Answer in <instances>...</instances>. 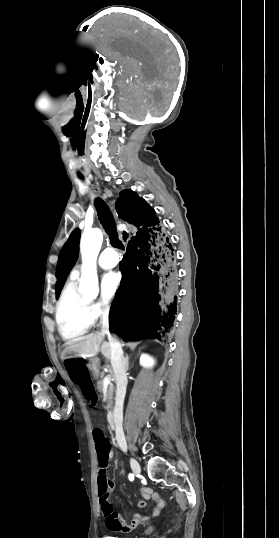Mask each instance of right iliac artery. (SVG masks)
I'll list each match as a JSON object with an SVG mask.
<instances>
[{
	"label": "right iliac artery",
	"mask_w": 279,
	"mask_h": 538,
	"mask_svg": "<svg viewBox=\"0 0 279 538\" xmlns=\"http://www.w3.org/2000/svg\"><path fill=\"white\" fill-rule=\"evenodd\" d=\"M129 480H130V481H133V480H134V475H133V474H129Z\"/></svg>",
	"instance_id": "82829eb1"
}]
</instances>
